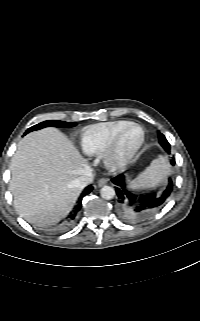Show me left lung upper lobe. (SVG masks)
<instances>
[{"instance_id":"1","label":"left lung upper lobe","mask_w":200,"mask_h":321,"mask_svg":"<svg viewBox=\"0 0 200 321\" xmlns=\"http://www.w3.org/2000/svg\"><path fill=\"white\" fill-rule=\"evenodd\" d=\"M159 142L161 146L165 149L166 146L169 144L168 141L166 140L165 136L161 133H159Z\"/></svg>"}]
</instances>
